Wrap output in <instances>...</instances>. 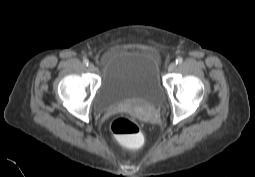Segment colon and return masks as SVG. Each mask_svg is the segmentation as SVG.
<instances>
[{
  "label": "colon",
  "mask_w": 255,
  "mask_h": 177,
  "mask_svg": "<svg viewBox=\"0 0 255 177\" xmlns=\"http://www.w3.org/2000/svg\"><path fill=\"white\" fill-rule=\"evenodd\" d=\"M110 129L129 148L137 149L141 146L143 141L141 130L134 120L117 117L111 122Z\"/></svg>",
  "instance_id": "1"
}]
</instances>
